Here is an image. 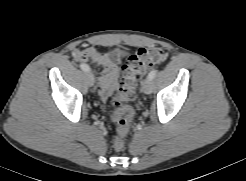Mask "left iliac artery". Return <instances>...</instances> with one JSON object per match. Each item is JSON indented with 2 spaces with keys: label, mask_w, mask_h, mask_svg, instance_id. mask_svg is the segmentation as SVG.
<instances>
[{
  "label": "left iliac artery",
  "mask_w": 246,
  "mask_h": 181,
  "mask_svg": "<svg viewBox=\"0 0 246 181\" xmlns=\"http://www.w3.org/2000/svg\"><path fill=\"white\" fill-rule=\"evenodd\" d=\"M157 70L153 69L149 74H148V78L150 79H154L156 76Z\"/></svg>",
  "instance_id": "44dca946"
}]
</instances>
